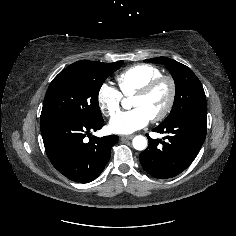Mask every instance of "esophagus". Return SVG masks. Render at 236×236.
Segmentation results:
<instances>
[{
    "label": "esophagus",
    "instance_id": "34e87169",
    "mask_svg": "<svg viewBox=\"0 0 236 236\" xmlns=\"http://www.w3.org/2000/svg\"><path fill=\"white\" fill-rule=\"evenodd\" d=\"M133 137H134V135H123V136H121V139L122 140H124V139L131 140Z\"/></svg>",
    "mask_w": 236,
    "mask_h": 236
}]
</instances>
